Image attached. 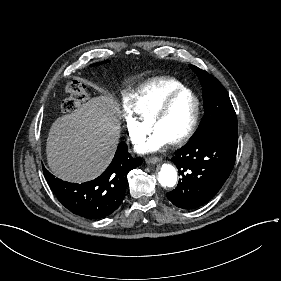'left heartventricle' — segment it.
I'll return each mask as SVG.
<instances>
[{
    "instance_id": "1",
    "label": "left heart ventricle",
    "mask_w": 281,
    "mask_h": 281,
    "mask_svg": "<svg viewBox=\"0 0 281 281\" xmlns=\"http://www.w3.org/2000/svg\"><path fill=\"white\" fill-rule=\"evenodd\" d=\"M195 107L194 99L185 94L177 98L153 128L168 142L177 138L187 128Z\"/></svg>"
}]
</instances>
